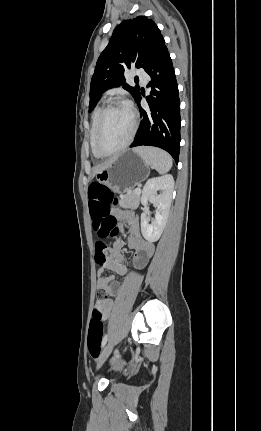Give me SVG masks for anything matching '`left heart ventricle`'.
I'll return each instance as SVG.
<instances>
[{
  "label": "left heart ventricle",
  "mask_w": 261,
  "mask_h": 431,
  "mask_svg": "<svg viewBox=\"0 0 261 431\" xmlns=\"http://www.w3.org/2000/svg\"><path fill=\"white\" fill-rule=\"evenodd\" d=\"M132 118L128 109L119 106L109 111L104 119L100 145L105 151H112L121 146L129 136Z\"/></svg>",
  "instance_id": "obj_1"
}]
</instances>
